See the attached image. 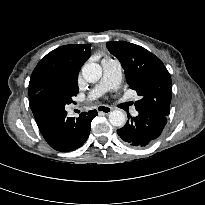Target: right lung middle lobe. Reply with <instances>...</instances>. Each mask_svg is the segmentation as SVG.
I'll use <instances>...</instances> for the list:
<instances>
[{"instance_id": "right-lung-middle-lobe-1", "label": "right lung middle lobe", "mask_w": 205, "mask_h": 205, "mask_svg": "<svg viewBox=\"0 0 205 205\" xmlns=\"http://www.w3.org/2000/svg\"><path fill=\"white\" fill-rule=\"evenodd\" d=\"M64 89L67 93L74 96L78 93V85H77V78H69L66 81V85Z\"/></svg>"}]
</instances>
